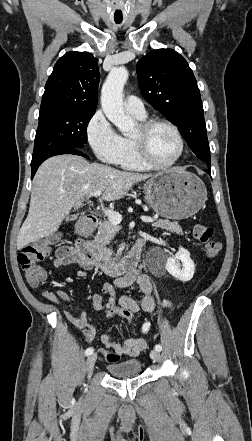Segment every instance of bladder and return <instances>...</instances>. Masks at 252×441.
<instances>
[{
    "mask_svg": "<svg viewBox=\"0 0 252 441\" xmlns=\"http://www.w3.org/2000/svg\"><path fill=\"white\" fill-rule=\"evenodd\" d=\"M141 367L142 363L139 360L132 359L119 363H110L106 366V370L112 378L124 379L138 375Z\"/></svg>",
    "mask_w": 252,
    "mask_h": 441,
    "instance_id": "obj_1",
    "label": "bladder"
}]
</instances>
